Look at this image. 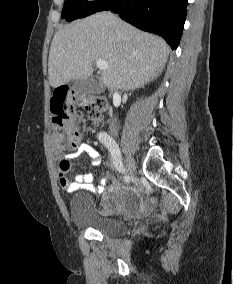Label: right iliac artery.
I'll return each instance as SVG.
<instances>
[{
  "label": "right iliac artery",
  "mask_w": 233,
  "mask_h": 284,
  "mask_svg": "<svg viewBox=\"0 0 233 284\" xmlns=\"http://www.w3.org/2000/svg\"><path fill=\"white\" fill-rule=\"evenodd\" d=\"M98 140L105 145L112 156L113 164L119 172H126L121 160L120 149L115 140L106 132L98 133Z\"/></svg>",
  "instance_id": "1"
}]
</instances>
